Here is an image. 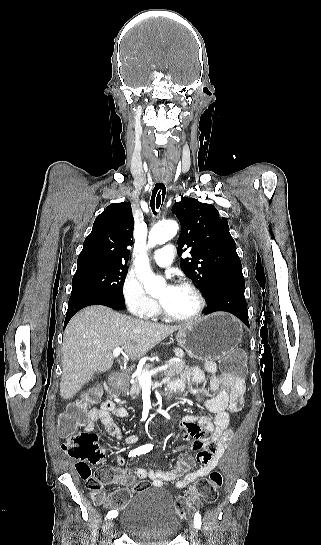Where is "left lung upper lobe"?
I'll list each match as a JSON object with an SVG mask.
<instances>
[{
  "instance_id": "5c2ea615",
  "label": "left lung upper lobe",
  "mask_w": 321,
  "mask_h": 545,
  "mask_svg": "<svg viewBox=\"0 0 321 545\" xmlns=\"http://www.w3.org/2000/svg\"><path fill=\"white\" fill-rule=\"evenodd\" d=\"M172 212L182 226L178 239L179 253L189 249L192 256L181 259V269L204 296L218 279L242 273L227 219L220 218L213 205L184 197L173 205Z\"/></svg>"
}]
</instances>
